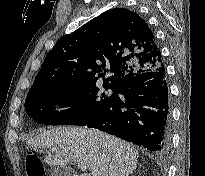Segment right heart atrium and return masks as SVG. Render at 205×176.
<instances>
[{
  "instance_id": "1",
  "label": "right heart atrium",
  "mask_w": 205,
  "mask_h": 176,
  "mask_svg": "<svg viewBox=\"0 0 205 176\" xmlns=\"http://www.w3.org/2000/svg\"><path fill=\"white\" fill-rule=\"evenodd\" d=\"M56 108H60L61 104L59 102L54 103Z\"/></svg>"
}]
</instances>
